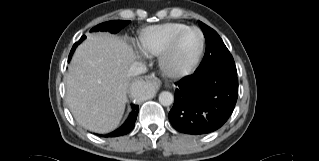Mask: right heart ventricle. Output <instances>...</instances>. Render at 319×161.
<instances>
[{
  "instance_id": "obj_1",
  "label": "right heart ventricle",
  "mask_w": 319,
  "mask_h": 161,
  "mask_svg": "<svg viewBox=\"0 0 319 161\" xmlns=\"http://www.w3.org/2000/svg\"><path fill=\"white\" fill-rule=\"evenodd\" d=\"M186 27H188L186 24L179 22H167L147 27L139 34V49L146 56H159L165 50L171 37Z\"/></svg>"
}]
</instances>
